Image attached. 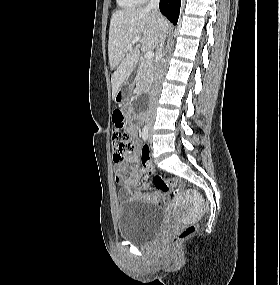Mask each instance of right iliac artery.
<instances>
[{
	"label": "right iliac artery",
	"mask_w": 280,
	"mask_h": 285,
	"mask_svg": "<svg viewBox=\"0 0 280 285\" xmlns=\"http://www.w3.org/2000/svg\"><path fill=\"white\" fill-rule=\"evenodd\" d=\"M148 136H149V129H148V126L145 125L144 128H143V131H142V138H143V140L147 141Z\"/></svg>",
	"instance_id": "right-iliac-artery-1"
}]
</instances>
